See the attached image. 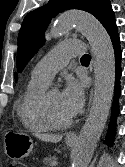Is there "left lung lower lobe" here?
I'll list each match as a JSON object with an SVG mask.
<instances>
[{"label": "left lung lower lobe", "mask_w": 125, "mask_h": 167, "mask_svg": "<svg viewBox=\"0 0 125 167\" xmlns=\"http://www.w3.org/2000/svg\"><path fill=\"white\" fill-rule=\"evenodd\" d=\"M107 32L112 40L113 48L115 52V94H114V100L112 105V115H111V121L109 124L108 132L106 135V139L104 140V143L109 144L112 146L113 144V138L115 134V124H116V118L119 114V107H118V97L121 94L120 91V77H121V47H120V39L119 34L116 26V21H114L110 27L107 29Z\"/></svg>", "instance_id": "1"}]
</instances>
